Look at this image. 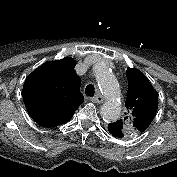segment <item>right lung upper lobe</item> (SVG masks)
Wrapping results in <instances>:
<instances>
[{"instance_id":"1","label":"right lung upper lobe","mask_w":177,"mask_h":177,"mask_svg":"<svg viewBox=\"0 0 177 177\" xmlns=\"http://www.w3.org/2000/svg\"><path fill=\"white\" fill-rule=\"evenodd\" d=\"M75 65L76 61L70 57L49 61L26 78L23 100L29 115L40 126L67 123L83 103Z\"/></svg>"}]
</instances>
